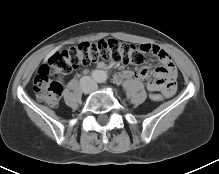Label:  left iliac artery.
<instances>
[{"instance_id":"44dca946","label":"left iliac artery","mask_w":219,"mask_h":174,"mask_svg":"<svg viewBox=\"0 0 219 174\" xmlns=\"http://www.w3.org/2000/svg\"><path fill=\"white\" fill-rule=\"evenodd\" d=\"M99 82H104V78H100V79H99Z\"/></svg>"}]
</instances>
